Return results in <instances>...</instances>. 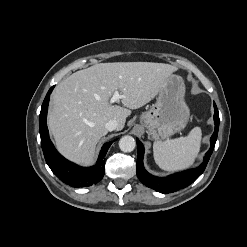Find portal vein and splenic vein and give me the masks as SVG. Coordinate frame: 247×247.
Segmentation results:
<instances>
[{
    "label": "portal vein and splenic vein",
    "instance_id": "obj_1",
    "mask_svg": "<svg viewBox=\"0 0 247 247\" xmlns=\"http://www.w3.org/2000/svg\"><path fill=\"white\" fill-rule=\"evenodd\" d=\"M123 96L118 92V91H115L112 98L110 99V103L113 104L117 101H119Z\"/></svg>",
    "mask_w": 247,
    "mask_h": 247
}]
</instances>
